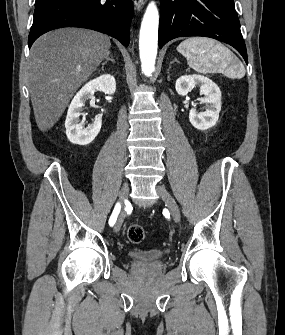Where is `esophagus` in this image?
<instances>
[{"mask_svg": "<svg viewBox=\"0 0 285 335\" xmlns=\"http://www.w3.org/2000/svg\"><path fill=\"white\" fill-rule=\"evenodd\" d=\"M136 9H141L144 5V0H132Z\"/></svg>", "mask_w": 285, "mask_h": 335, "instance_id": "1", "label": "esophagus"}]
</instances>
